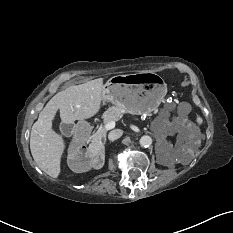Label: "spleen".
Here are the masks:
<instances>
[{"label": "spleen", "instance_id": "spleen-1", "mask_svg": "<svg viewBox=\"0 0 233 233\" xmlns=\"http://www.w3.org/2000/svg\"><path fill=\"white\" fill-rule=\"evenodd\" d=\"M202 121H203L202 118H201L200 116H198V117H197V123H198V124H201Z\"/></svg>", "mask_w": 233, "mask_h": 233}]
</instances>
